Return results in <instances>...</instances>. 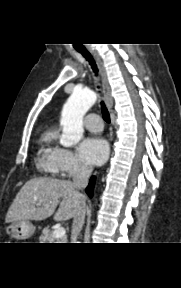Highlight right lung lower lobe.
Wrapping results in <instances>:
<instances>
[{
  "mask_svg": "<svg viewBox=\"0 0 181 288\" xmlns=\"http://www.w3.org/2000/svg\"><path fill=\"white\" fill-rule=\"evenodd\" d=\"M94 184H95V177L93 176V177L90 179L89 185H88L87 188H86V193H87L90 197H92V195H93Z\"/></svg>",
  "mask_w": 181,
  "mask_h": 288,
  "instance_id": "1",
  "label": "right lung lower lobe"
}]
</instances>
